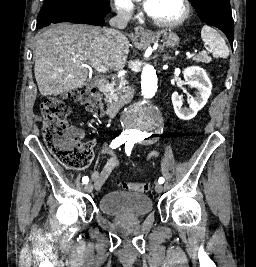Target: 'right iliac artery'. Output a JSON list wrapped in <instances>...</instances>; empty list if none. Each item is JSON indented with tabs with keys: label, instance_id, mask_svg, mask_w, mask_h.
I'll return each instance as SVG.
<instances>
[{
	"label": "right iliac artery",
	"instance_id": "82829eb1",
	"mask_svg": "<svg viewBox=\"0 0 256 267\" xmlns=\"http://www.w3.org/2000/svg\"><path fill=\"white\" fill-rule=\"evenodd\" d=\"M126 140H127V137H124V136H121V135H120L119 137L115 138V140H113V141L111 142L110 147H111V148H117V147H119L120 145H122L123 143H125ZM82 182H83V184H87V183L89 182V178H88V176L83 177V178H82Z\"/></svg>",
	"mask_w": 256,
	"mask_h": 267
}]
</instances>
